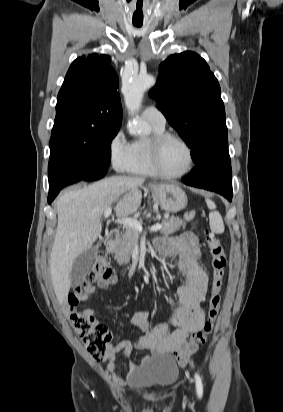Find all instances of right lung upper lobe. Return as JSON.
Returning a JSON list of instances; mask_svg holds the SVG:
<instances>
[{
    "mask_svg": "<svg viewBox=\"0 0 283 412\" xmlns=\"http://www.w3.org/2000/svg\"><path fill=\"white\" fill-rule=\"evenodd\" d=\"M110 61L98 54L74 60L58 94L55 119L74 116L102 131L120 129L118 77Z\"/></svg>",
    "mask_w": 283,
    "mask_h": 412,
    "instance_id": "obj_1",
    "label": "right lung upper lobe"
}]
</instances>
